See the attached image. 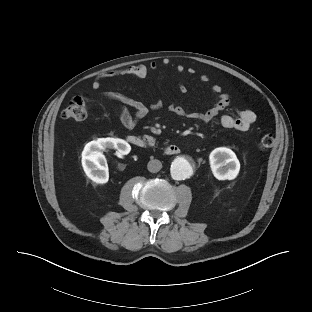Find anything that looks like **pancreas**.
<instances>
[{
    "mask_svg": "<svg viewBox=\"0 0 312 312\" xmlns=\"http://www.w3.org/2000/svg\"><path fill=\"white\" fill-rule=\"evenodd\" d=\"M149 144L153 146L155 144V139L152 137H148Z\"/></svg>",
    "mask_w": 312,
    "mask_h": 312,
    "instance_id": "pancreas-1",
    "label": "pancreas"
}]
</instances>
